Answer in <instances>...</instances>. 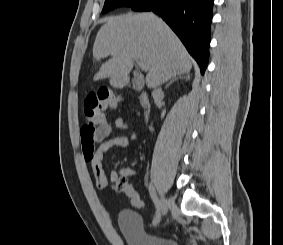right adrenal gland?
Listing matches in <instances>:
<instances>
[{
  "label": "right adrenal gland",
  "instance_id": "obj_1",
  "mask_svg": "<svg viewBox=\"0 0 283 245\" xmlns=\"http://www.w3.org/2000/svg\"><path fill=\"white\" fill-rule=\"evenodd\" d=\"M179 79H186V80H189L190 79V75L187 73L186 75H179L178 77H174V78H172L167 84H166V86H165V88L167 89V88H169V86L173 83V82H175V81H177V80H179Z\"/></svg>",
  "mask_w": 283,
  "mask_h": 245
}]
</instances>
